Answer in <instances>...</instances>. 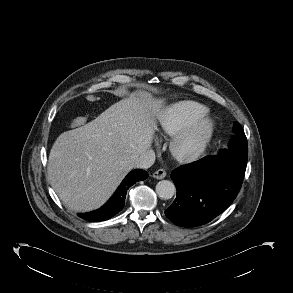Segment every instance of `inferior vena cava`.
<instances>
[{
  "label": "inferior vena cava",
  "instance_id": "obj_1",
  "mask_svg": "<svg viewBox=\"0 0 293 293\" xmlns=\"http://www.w3.org/2000/svg\"><path fill=\"white\" fill-rule=\"evenodd\" d=\"M155 162V152L150 149L139 156L134 162V168L148 169Z\"/></svg>",
  "mask_w": 293,
  "mask_h": 293
}]
</instances>
